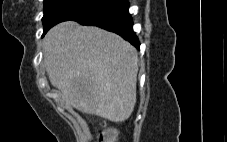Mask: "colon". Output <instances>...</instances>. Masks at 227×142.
Returning <instances> with one entry per match:
<instances>
[{
  "mask_svg": "<svg viewBox=\"0 0 227 142\" xmlns=\"http://www.w3.org/2000/svg\"><path fill=\"white\" fill-rule=\"evenodd\" d=\"M99 142H116L117 132L114 129H108L102 132L99 136Z\"/></svg>",
  "mask_w": 227,
  "mask_h": 142,
  "instance_id": "1",
  "label": "colon"
}]
</instances>
